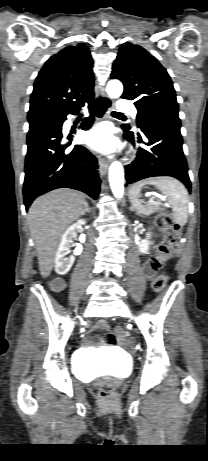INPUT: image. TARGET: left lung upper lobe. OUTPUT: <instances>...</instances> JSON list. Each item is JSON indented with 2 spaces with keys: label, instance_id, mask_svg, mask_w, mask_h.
Returning <instances> with one entry per match:
<instances>
[{
  "label": "left lung upper lobe",
  "instance_id": "1",
  "mask_svg": "<svg viewBox=\"0 0 208 461\" xmlns=\"http://www.w3.org/2000/svg\"><path fill=\"white\" fill-rule=\"evenodd\" d=\"M112 79L124 85L122 98L134 100L138 127L157 115L178 117L175 89L166 69L144 48L124 43L113 63ZM123 128L129 129L128 125Z\"/></svg>",
  "mask_w": 208,
  "mask_h": 461
}]
</instances>
